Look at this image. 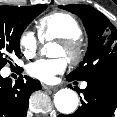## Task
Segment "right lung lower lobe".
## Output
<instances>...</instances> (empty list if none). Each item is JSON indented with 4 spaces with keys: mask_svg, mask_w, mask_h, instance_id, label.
Returning a JSON list of instances; mask_svg holds the SVG:
<instances>
[{
    "mask_svg": "<svg viewBox=\"0 0 117 117\" xmlns=\"http://www.w3.org/2000/svg\"><path fill=\"white\" fill-rule=\"evenodd\" d=\"M40 89V82L28 76H20L15 84L0 76V117H26L29 97Z\"/></svg>",
    "mask_w": 117,
    "mask_h": 117,
    "instance_id": "1",
    "label": "right lung lower lobe"
}]
</instances>
